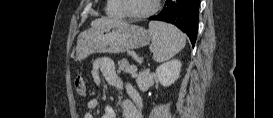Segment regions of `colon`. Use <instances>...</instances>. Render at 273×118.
Wrapping results in <instances>:
<instances>
[{
    "label": "colon",
    "instance_id": "1",
    "mask_svg": "<svg viewBox=\"0 0 273 118\" xmlns=\"http://www.w3.org/2000/svg\"><path fill=\"white\" fill-rule=\"evenodd\" d=\"M75 92L79 96H83L85 94V80L83 77L78 76L74 81Z\"/></svg>",
    "mask_w": 273,
    "mask_h": 118
}]
</instances>
